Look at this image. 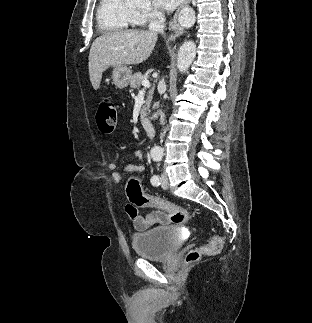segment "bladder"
Wrapping results in <instances>:
<instances>
[{"label": "bladder", "instance_id": "31cf9c89", "mask_svg": "<svg viewBox=\"0 0 312 323\" xmlns=\"http://www.w3.org/2000/svg\"><path fill=\"white\" fill-rule=\"evenodd\" d=\"M178 245L179 238L174 227L160 226L133 237L136 253L149 260L167 259L177 252Z\"/></svg>", "mask_w": 312, "mask_h": 323}]
</instances>
